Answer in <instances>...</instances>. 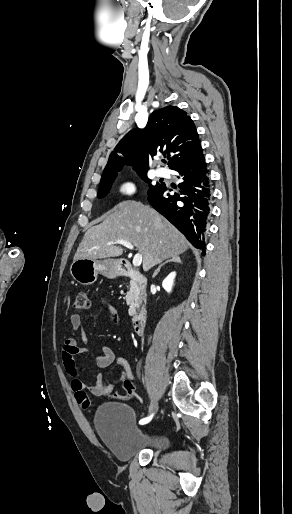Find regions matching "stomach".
Instances as JSON below:
<instances>
[{"label": "stomach", "mask_w": 292, "mask_h": 514, "mask_svg": "<svg viewBox=\"0 0 292 514\" xmlns=\"http://www.w3.org/2000/svg\"><path fill=\"white\" fill-rule=\"evenodd\" d=\"M72 278L82 284V286H90L94 284L98 278V274L106 276L109 280H114L120 276L122 268L119 260H88V258H79L74 260L70 266Z\"/></svg>", "instance_id": "1"}]
</instances>
